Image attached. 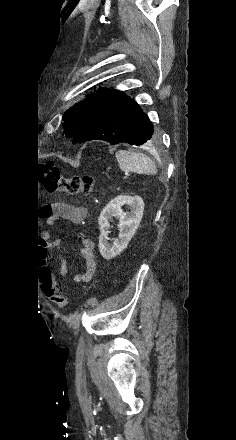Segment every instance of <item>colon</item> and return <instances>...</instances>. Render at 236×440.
Wrapping results in <instances>:
<instances>
[{
  "label": "colon",
  "mask_w": 236,
  "mask_h": 440,
  "mask_svg": "<svg viewBox=\"0 0 236 440\" xmlns=\"http://www.w3.org/2000/svg\"><path fill=\"white\" fill-rule=\"evenodd\" d=\"M44 187L49 192L63 191L68 194L88 195L94 189V178L92 176L64 177L60 169L52 161H47L42 166L40 174ZM57 276L46 274L42 280L44 293L59 307L64 308L68 305V298L63 291L57 287Z\"/></svg>",
  "instance_id": "obj_1"
}]
</instances>
